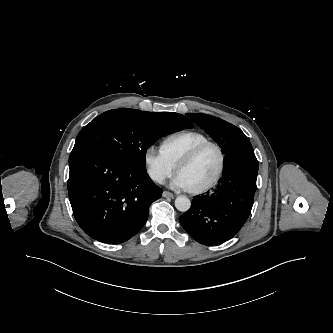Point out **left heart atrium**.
I'll return each mask as SVG.
<instances>
[{
	"mask_svg": "<svg viewBox=\"0 0 333 333\" xmlns=\"http://www.w3.org/2000/svg\"><path fill=\"white\" fill-rule=\"evenodd\" d=\"M173 187L178 188V189H183V190H189V186L187 184V182L185 181V179L178 174L175 179L172 182Z\"/></svg>",
	"mask_w": 333,
	"mask_h": 333,
	"instance_id": "1",
	"label": "left heart atrium"
}]
</instances>
